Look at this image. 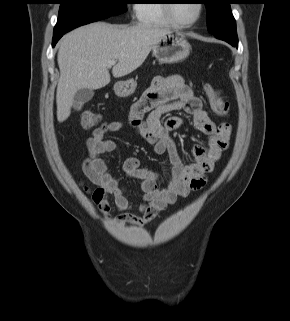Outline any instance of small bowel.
<instances>
[{
	"label": "small bowel",
	"instance_id": "c3829d8e",
	"mask_svg": "<svg viewBox=\"0 0 290 321\" xmlns=\"http://www.w3.org/2000/svg\"><path fill=\"white\" fill-rule=\"evenodd\" d=\"M177 110L187 112L193 126L209 136L208 147L201 144L193 147L195 161L190 164L183 162L170 137L171 131L186 125L187 121L182 117H169L163 121L165 114ZM130 123L135 134L153 144L156 154H166L170 163L169 171L160 172L141 167L135 157L123 162L124 173L141 181V204L133 207L128 190L108 170L102 158L103 154L117 150L116 142L107 135L120 130L121 122L107 121L93 131L86 140L87 156L82 170L91 183L98 186L92 199L104 216H110L113 203L124 211L117 216L118 222L143 226L178 198H185L205 185L207 173L228 148L231 125L213 121L202 101L180 75L156 77L152 86L132 105ZM161 181L165 182L164 187L158 186ZM131 210L135 212H129Z\"/></svg>",
	"mask_w": 290,
	"mask_h": 321
}]
</instances>
